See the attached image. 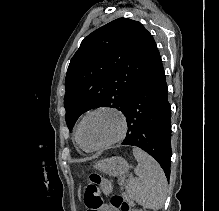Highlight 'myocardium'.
<instances>
[{
  "mask_svg": "<svg viewBox=\"0 0 219 211\" xmlns=\"http://www.w3.org/2000/svg\"><path fill=\"white\" fill-rule=\"evenodd\" d=\"M98 112H110L113 113L114 115H116L120 121V127H119V131L118 133L111 138L110 140H108L107 142L99 145V146H95V147H90L87 148L83 145L82 140H81V128L82 125L84 123V121L92 114L98 113ZM127 126H128V120L126 115L117 107L114 106H108V105H102V106H98L96 108H93L89 111H87L84 116L81 118V120L79 121V124L77 126V130H76V135H77V140L78 143L80 144V146L88 151H97V150H102L105 149L119 141H121L127 131Z\"/></svg>",
  "mask_w": 219,
  "mask_h": 211,
  "instance_id": "1",
  "label": "myocardium"
}]
</instances>
